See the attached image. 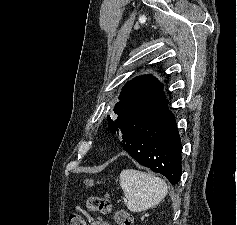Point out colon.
<instances>
[{"label": "colon", "mask_w": 237, "mask_h": 225, "mask_svg": "<svg viewBox=\"0 0 237 225\" xmlns=\"http://www.w3.org/2000/svg\"><path fill=\"white\" fill-rule=\"evenodd\" d=\"M86 206L92 213H113L117 225H132L131 216L123 209H115L112 203L106 198L98 196L89 197ZM67 225H85V220L80 215L72 214L68 217Z\"/></svg>", "instance_id": "1"}]
</instances>
